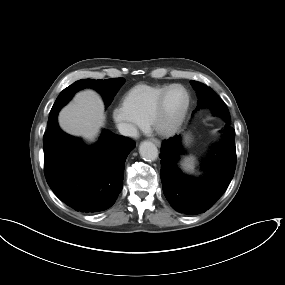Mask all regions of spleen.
<instances>
[{
	"mask_svg": "<svg viewBox=\"0 0 285 285\" xmlns=\"http://www.w3.org/2000/svg\"><path fill=\"white\" fill-rule=\"evenodd\" d=\"M196 163V158L194 156H186L183 159V168L188 172H193Z\"/></svg>",
	"mask_w": 285,
	"mask_h": 285,
	"instance_id": "obj_1",
	"label": "spleen"
}]
</instances>
